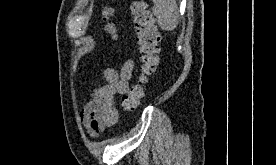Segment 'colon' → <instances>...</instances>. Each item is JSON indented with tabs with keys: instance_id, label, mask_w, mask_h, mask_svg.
Instances as JSON below:
<instances>
[{
	"instance_id": "1",
	"label": "colon",
	"mask_w": 276,
	"mask_h": 165,
	"mask_svg": "<svg viewBox=\"0 0 276 165\" xmlns=\"http://www.w3.org/2000/svg\"><path fill=\"white\" fill-rule=\"evenodd\" d=\"M114 9L110 6L102 10L105 31L117 36V27L111 20ZM140 53V74L135 84L123 95L121 107L125 112L134 111L144 97V86L148 76L152 75L158 64L160 35L152 12L145 1H134L130 5Z\"/></svg>"
}]
</instances>
